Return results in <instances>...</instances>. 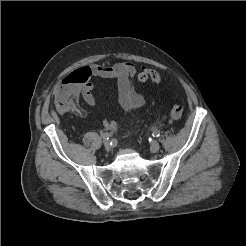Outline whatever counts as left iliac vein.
I'll use <instances>...</instances> for the list:
<instances>
[{
    "instance_id": "obj_1",
    "label": "left iliac vein",
    "mask_w": 246,
    "mask_h": 246,
    "mask_svg": "<svg viewBox=\"0 0 246 246\" xmlns=\"http://www.w3.org/2000/svg\"><path fill=\"white\" fill-rule=\"evenodd\" d=\"M159 148H160V144L157 141L152 142L150 145V150L152 152H157Z\"/></svg>"
}]
</instances>
